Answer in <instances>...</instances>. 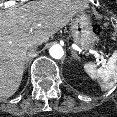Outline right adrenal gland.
I'll list each match as a JSON object with an SVG mask.
<instances>
[{"label": "right adrenal gland", "mask_w": 117, "mask_h": 117, "mask_svg": "<svg viewBox=\"0 0 117 117\" xmlns=\"http://www.w3.org/2000/svg\"><path fill=\"white\" fill-rule=\"evenodd\" d=\"M28 62H29V55L27 56L26 61H25V65H24V67H23V70H24V71H25V69L27 68Z\"/></svg>", "instance_id": "1"}]
</instances>
